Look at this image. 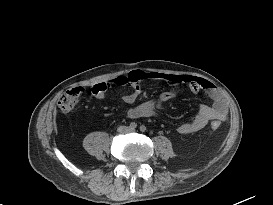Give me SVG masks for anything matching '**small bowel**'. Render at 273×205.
I'll return each instance as SVG.
<instances>
[{"label":"small bowel","mask_w":273,"mask_h":205,"mask_svg":"<svg viewBox=\"0 0 273 205\" xmlns=\"http://www.w3.org/2000/svg\"><path fill=\"white\" fill-rule=\"evenodd\" d=\"M143 81H158L175 86L185 85V87L164 91L155 99L131 108L129 110L130 117L141 118L153 116L157 110L162 109L168 101L176 98L179 94H197L201 91L206 92L212 99V105H201L192 120L180 125L179 132L182 134L196 132L204 128L210 120L223 121L227 117V102L219 89L211 82L191 75L133 70L127 75L95 83L92 85L90 91L96 99H103L108 90L129 85L132 87V90L123 96V100L126 103H133L142 91L140 83Z\"/></svg>","instance_id":"1"}]
</instances>
